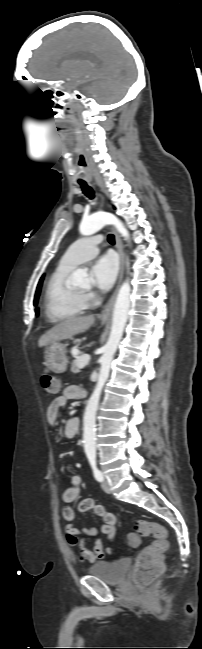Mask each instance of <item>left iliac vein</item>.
Listing matches in <instances>:
<instances>
[{
  "label": "left iliac vein",
  "instance_id": "4c4485c4",
  "mask_svg": "<svg viewBox=\"0 0 202 649\" xmlns=\"http://www.w3.org/2000/svg\"><path fill=\"white\" fill-rule=\"evenodd\" d=\"M101 487H102V489H103V491H104L105 493H107V494H110V493H111L110 485H109V483H108L107 481H103V482L101 483Z\"/></svg>",
  "mask_w": 202,
  "mask_h": 649
}]
</instances>
